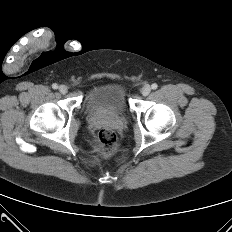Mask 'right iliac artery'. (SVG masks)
<instances>
[{
	"label": "right iliac artery",
	"mask_w": 232,
	"mask_h": 232,
	"mask_svg": "<svg viewBox=\"0 0 232 232\" xmlns=\"http://www.w3.org/2000/svg\"><path fill=\"white\" fill-rule=\"evenodd\" d=\"M52 88H53V89H57V88H58V85H57L56 83H54V84L52 85Z\"/></svg>",
	"instance_id": "1"
}]
</instances>
